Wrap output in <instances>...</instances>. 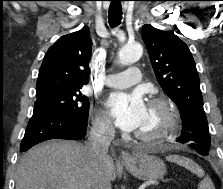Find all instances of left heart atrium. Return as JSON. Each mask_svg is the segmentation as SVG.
I'll return each instance as SVG.
<instances>
[{
  "label": "left heart atrium",
  "instance_id": "39dd6f15",
  "mask_svg": "<svg viewBox=\"0 0 223 189\" xmlns=\"http://www.w3.org/2000/svg\"><path fill=\"white\" fill-rule=\"evenodd\" d=\"M106 108L116 126L124 131L139 129L147 114V106L139 91L111 94L106 100Z\"/></svg>",
  "mask_w": 223,
  "mask_h": 189
}]
</instances>
